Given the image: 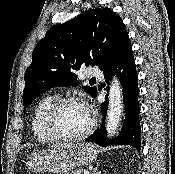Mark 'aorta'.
<instances>
[{
	"instance_id": "obj_1",
	"label": "aorta",
	"mask_w": 175,
	"mask_h": 174,
	"mask_svg": "<svg viewBox=\"0 0 175 174\" xmlns=\"http://www.w3.org/2000/svg\"><path fill=\"white\" fill-rule=\"evenodd\" d=\"M123 114V96L120 82L113 78L109 91V105L106 120L107 135L112 137L120 124Z\"/></svg>"
}]
</instances>
